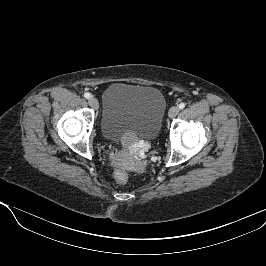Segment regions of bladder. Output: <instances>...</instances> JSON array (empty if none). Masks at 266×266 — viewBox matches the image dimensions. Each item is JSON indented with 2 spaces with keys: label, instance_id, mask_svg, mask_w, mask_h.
<instances>
[{
  "label": "bladder",
  "instance_id": "bladder-1",
  "mask_svg": "<svg viewBox=\"0 0 266 266\" xmlns=\"http://www.w3.org/2000/svg\"><path fill=\"white\" fill-rule=\"evenodd\" d=\"M166 111L162 92L149 86L111 84L103 94L101 132L118 142L128 135L139 140L155 139Z\"/></svg>",
  "mask_w": 266,
  "mask_h": 266
}]
</instances>
